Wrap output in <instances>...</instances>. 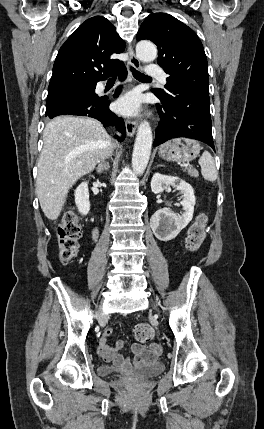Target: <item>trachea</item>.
Instances as JSON below:
<instances>
[{
    "label": "trachea",
    "instance_id": "obj_1",
    "mask_svg": "<svg viewBox=\"0 0 264 429\" xmlns=\"http://www.w3.org/2000/svg\"><path fill=\"white\" fill-rule=\"evenodd\" d=\"M131 71H132V73H133V76L136 78V79H139V80H149V79H151L149 76H147V75H145V74H142V73H140L139 71H137L135 68H133V67H131Z\"/></svg>",
    "mask_w": 264,
    "mask_h": 429
}]
</instances>
